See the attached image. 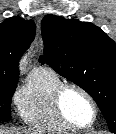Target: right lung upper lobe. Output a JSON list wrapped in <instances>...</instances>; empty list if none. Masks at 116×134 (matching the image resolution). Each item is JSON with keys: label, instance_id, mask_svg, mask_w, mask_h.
<instances>
[{"label": "right lung upper lobe", "instance_id": "obj_1", "mask_svg": "<svg viewBox=\"0 0 116 134\" xmlns=\"http://www.w3.org/2000/svg\"><path fill=\"white\" fill-rule=\"evenodd\" d=\"M33 20L11 17L0 24V83L18 81V62L34 39Z\"/></svg>", "mask_w": 116, "mask_h": 134}]
</instances>
